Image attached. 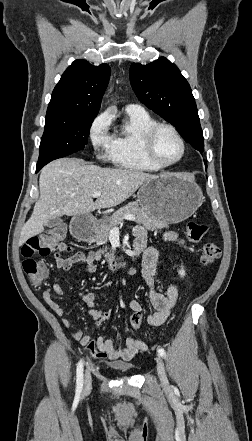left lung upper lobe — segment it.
I'll return each mask as SVG.
<instances>
[{
  "label": "left lung upper lobe",
  "mask_w": 252,
  "mask_h": 441,
  "mask_svg": "<svg viewBox=\"0 0 252 441\" xmlns=\"http://www.w3.org/2000/svg\"><path fill=\"white\" fill-rule=\"evenodd\" d=\"M130 82L143 104L173 124L193 148L203 151L204 138L195 99L175 64L165 57L148 65L133 63Z\"/></svg>",
  "instance_id": "left-lung-upper-lobe-1"
}]
</instances>
